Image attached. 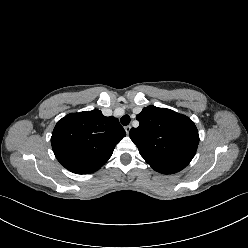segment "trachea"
I'll use <instances>...</instances> for the list:
<instances>
[{"label":"trachea","mask_w":248,"mask_h":248,"mask_svg":"<svg viewBox=\"0 0 248 248\" xmlns=\"http://www.w3.org/2000/svg\"><path fill=\"white\" fill-rule=\"evenodd\" d=\"M130 116L129 115H124L121 117L120 122L123 126H127L130 123Z\"/></svg>","instance_id":"1"}]
</instances>
